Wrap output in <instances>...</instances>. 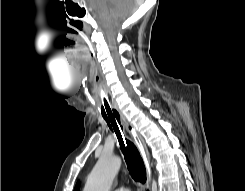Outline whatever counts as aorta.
Listing matches in <instances>:
<instances>
[{
  "mask_svg": "<svg viewBox=\"0 0 245 191\" xmlns=\"http://www.w3.org/2000/svg\"><path fill=\"white\" fill-rule=\"evenodd\" d=\"M121 167L118 156H102L89 174L83 191H110Z\"/></svg>",
  "mask_w": 245,
  "mask_h": 191,
  "instance_id": "obj_1",
  "label": "aorta"
}]
</instances>
